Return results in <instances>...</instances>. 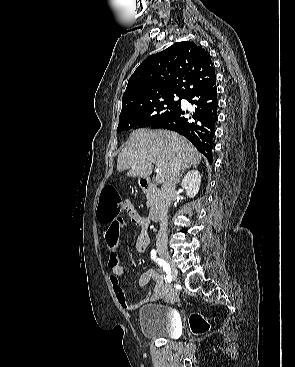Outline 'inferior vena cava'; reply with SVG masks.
Masks as SVG:
<instances>
[{"label":"inferior vena cava","mask_w":295,"mask_h":367,"mask_svg":"<svg viewBox=\"0 0 295 367\" xmlns=\"http://www.w3.org/2000/svg\"><path fill=\"white\" fill-rule=\"evenodd\" d=\"M180 174V168L175 167L171 170L170 174L166 177L160 192V203H161V213H160V230L158 231L156 237L157 246H166L168 241L167 226L168 219L167 213L171 205V200L175 192L176 183L178 181V176Z\"/></svg>","instance_id":"inferior-vena-cava-1"}]
</instances>
